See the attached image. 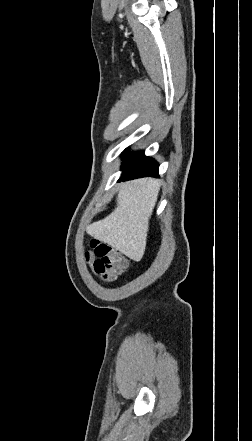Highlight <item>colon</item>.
<instances>
[{
	"label": "colon",
	"instance_id": "obj_1",
	"mask_svg": "<svg viewBox=\"0 0 252 441\" xmlns=\"http://www.w3.org/2000/svg\"><path fill=\"white\" fill-rule=\"evenodd\" d=\"M85 258L94 272L105 282H113L126 268L127 260L116 249L100 241H92Z\"/></svg>",
	"mask_w": 252,
	"mask_h": 441
}]
</instances>
